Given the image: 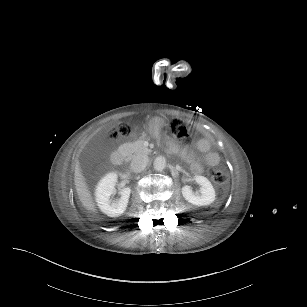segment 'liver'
Masks as SVG:
<instances>
[{"instance_id": "1", "label": "liver", "mask_w": 307, "mask_h": 307, "mask_svg": "<svg viewBox=\"0 0 307 307\" xmlns=\"http://www.w3.org/2000/svg\"><path fill=\"white\" fill-rule=\"evenodd\" d=\"M74 185L77 192L78 198L82 206L89 212L93 214H98V208L94 201V197L89 190V186L85 180V177L82 172L80 162H76L74 170Z\"/></svg>"}]
</instances>
